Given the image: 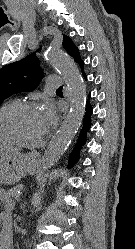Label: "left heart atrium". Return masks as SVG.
Returning <instances> with one entry per match:
<instances>
[{"instance_id":"39dd6f15","label":"left heart atrium","mask_w":135,"mask_h":249,"mask_svg":"<svg viewBox=\"0 0 135 249\" xmlns=\"http://www.w3.org/2000/svg\"><path fill=\"white\" fill-rule=\"evenodd\" d=\"M44 131L52 126L56 121V111L52 103L46 102L39 110Z\"/></svg>"}]
</instances>
